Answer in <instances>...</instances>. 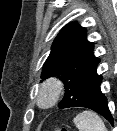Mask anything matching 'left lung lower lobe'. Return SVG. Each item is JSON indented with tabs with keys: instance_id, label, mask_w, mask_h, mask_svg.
Instances as JSON below:
<instances>
[{
	"instance_id": "left-lung-lower-lobe-1",
	"label": "left lung lower lobe",
	"mask_w": 117,
	"mask_h": 131,
	"mask_svg": "<svg viewBox=\"0 0 117 131\" xmlns=\"http://www.w3.org/2000/svg\"><path fill=\"white\" fill-rule=\"evenodd\" d=\"M102 76L98 75L96 70L88 82L81 88L69 89L67 95H70L69 107H86L102 115L113 125V117L109 111L107 99L100 90Z\"/></svg>"
}]
</instances>
